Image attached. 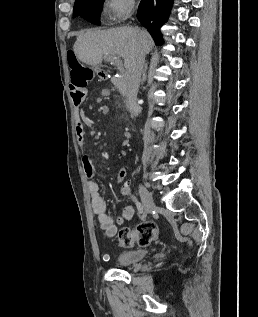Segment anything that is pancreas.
Instances as JSON below:
<instances>
[{
  "label": "pancreas",
  "mask_w": 258,
  "mask_h": 317,
  "mask_svg": "<svg viewBox=\"0 0 258 317\" xmlns=\"http://www.w3.org/2000/svg\"><path fill=\"white\" fill-rule=\"evenodd\" d=\"M126 84V81H121L120 78H118L117 86H124Z\"/></svg>",
  "instance_id": "pancreas-1"
}]
</instances>
